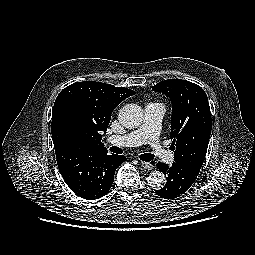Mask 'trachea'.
I'll return each instance as SVG.
<instances>
[{
    "mask_svg": "<svg viewBox=\"0 0 255 255\" xmlns=\"http://www.w3.org/2000/svg\"><path fill=\"white\" fill-rule=\"evenodd\" d=\"M110 151L116 154H122L123 152L121 148L116 146L110 147ZM154 157H155L154 154H150V153H144L139 156L140 160L142 161H151L154 159Z\"/></svg>",
    "mask_w": 255,
    "mask_h": 255,
    "instance_id": "obj_1",
    "label": "trachea"
}]
</instances>
